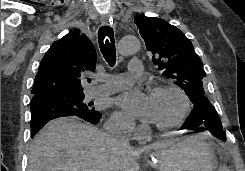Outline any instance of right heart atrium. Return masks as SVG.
<instances>
[{"label": "right heart atrium", "instance_id": "d8ad5b80", "mask_svg": "<svg viewBox=\"0 0 245 171\" xmlns=\"http://www.w3.org/2000/svg\"><path fill=\"white\" fill-rule=\"evenodd\" d=\"M110 126L121 132L131 133L134 130V122L126 115L116 112L110 119Z\"/></svg>", "mask_w": 245, "mask_h": 171}]
</instances>
